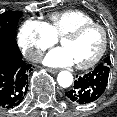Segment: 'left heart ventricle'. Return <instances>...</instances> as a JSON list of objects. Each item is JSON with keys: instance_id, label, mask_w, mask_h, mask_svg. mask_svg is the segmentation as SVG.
I'll list each match as a JSON object with an SVG mask.
<instances>
[{"instance_id": "left-heart-ventricle-1", "label": "left heart ventricle", "mask_w": 117, "mask_h": 117, "mask_svg": "<svg viewBox=\"0 0 117 117\" xmlns=\"http://www.w3.org/2000/svg\"><path fill=\"white\" fill-rule=\"evenodd\" d=\"M102 41L101 31L97 28H92L75 39H64L62 45L70 51L75 64H84L97 54Z\"/></svg>"}]
</instances>
